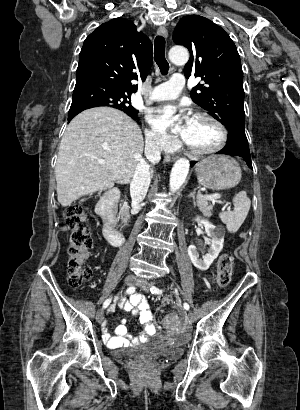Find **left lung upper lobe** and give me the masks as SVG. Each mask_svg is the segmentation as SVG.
I'll list each match as a JSON object with an SVG mask.
<instances>
[{
	"label": "left lung upper lobe",
	"instance_id": "1",
	"mask_svg": "<svg viewBox=\"0 0 300 410\" xmlns=\"http://www.w3.org/2000/svg\"><path fill=\"white\" fill-rule=\"evenodd\" d=\"M173 41L190 51L185 77L204 81L192 89V100L228 130L245 132L243 72L229 35L207 18L189 15L179 21Z\"/></svg>",
	"mask_w": 300,
	"mask_h": 410
}]
</instances>
